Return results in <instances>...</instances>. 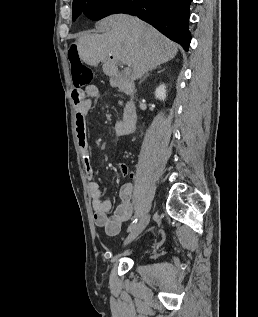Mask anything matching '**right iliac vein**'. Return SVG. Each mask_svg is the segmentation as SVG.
<instances>
[{
    "instance_id": "63e3f726",
    "label": "right iliac vein",
    "mask_w": 258,
    "mask_h": 317,
    "mask_svg": "<svg viewBox=\"0 0 258 317\" xmlns=\"http://www.w3.org/2000/svg\"><path fill=\"white\" fill-rule=\"evenodd\" d=\"M151 216L152 213L150 211H147L145 215L142 216L139 223H137L135 227L131 229L130 234H128L127 240H123V246L130 245V243H132V240L135 239V237L139 236V234L143 231V228L146 226Z\"/></svg>"
}]
</instances>
